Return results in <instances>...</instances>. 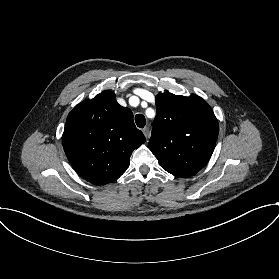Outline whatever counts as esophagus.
I'll list each match as a JSON object with an SVG mask.
<instances>
[{
	"mask_svg": "<svg viewBox=\"0 0 279 279\" xmlns=\"http://www.w3.org/2000/svg\"><path fill=\"white\" fill-rule=\"evenodd\" d=\"M142 132H143L144 136L146 138H148V136H149V127L146 126L145 128H143Z\"/></svg>",
	"mask_w": 279,
	"mask_h": 279,
	"instance_id": "obj_1",
	"label": "esophagus"
}]
</instances>
